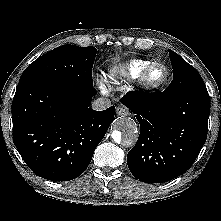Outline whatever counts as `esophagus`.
<instances>
[{
    "mask_svg": "<svg viewBox=\"0 0 221 221\" xmlns=\"http://www.w3.org/2000/svg\"><path fill=\"white\" fill-rule=\"evenodd\" d=\"M116 113L119 116H127L130 114L128 108H126L124 106H118L116 109Z\"/></svg>",
    "mask_w": 221,
    "mask_h": 221,
    "instance_id": "34e87169",
    "label": "esophagus"
}]
</instances>
